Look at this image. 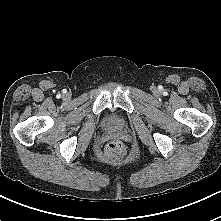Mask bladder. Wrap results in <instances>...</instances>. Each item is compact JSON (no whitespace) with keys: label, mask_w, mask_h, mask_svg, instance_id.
<instances>
[{"label":"bladder","mask_w":221,"mask_h":221,"mask_svg":"<svg viewBox=\"0 0 221 221\" xmlns=\"http://www.w3.org/2000/svg\"><path fill=\"white\" fill-rule=\"evenodd\" d=\"M103 124L106 128L119 130L124 128L125 120L120 115L109 112L104 116Z\"/></svg>","instance_id":"31cf9c89"}]
</instances>
